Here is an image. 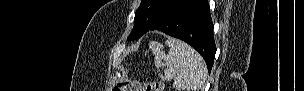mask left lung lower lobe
Instances as JSON below:
<instances>
[{
  "label": "left lung lower lobe",
  "instance_id": "1",
  "mask_svg": "<svg viewBox=\"0 0 304 91\" xmlns=\"http://www.w3.org/2000/svg\"><path fill=\"white\" fill-rule=\"evenodd\" d=\"M213 28L206 0H172L149 30H161L191 45L204 58L210 73L216 53Z\"/></svg>",
  "mask_w": 304,
  "mask_h": 91
}]
</instances>
